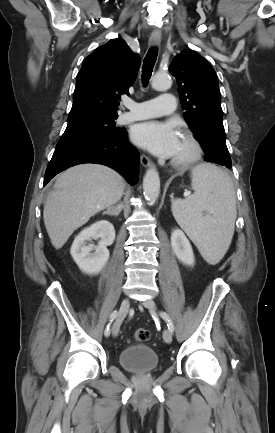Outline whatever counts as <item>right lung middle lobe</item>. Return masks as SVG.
<instances>
[{"instance_id":"1","label":"right lung middle lobe","mask_w":275,"mask_h":433,"mask_svg":"<svg viewBox=\"0 0 275 433\" xmlns=\"http://www.w3.org/2000/svg\"><path fill=\"white\" fill-rule=\"evenodd\" d=\"M118 116L85 115L68 118V125L60 140L73 138L110 139L120 136L124 131L115 127ZM59 140V141H60Z\"/></svg>"}]
</instances>
